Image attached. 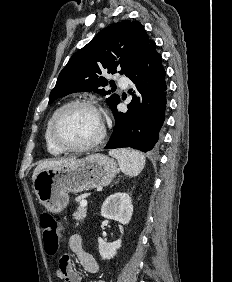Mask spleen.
<instances>
[{
    "mask_svg": "<svg viewBox=\"0 0 232 282\" xmlns=\"http://www.w3.org/2000/svg\"><path fill=\"white\" fill-rule=\"evenodd\" d=\"M109 155L117 159L122 172L129 176L138 175L145 165V157L132 149L111 150Z\"/></svg>",
    "mask_w": 232,
    "mask_h": 282,
    "instance_id": "1",
    "label": "spleen"
}]
</instances>
